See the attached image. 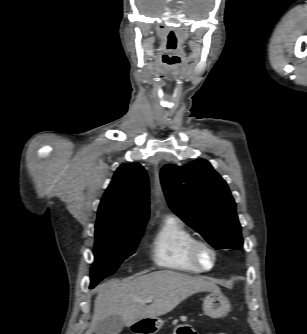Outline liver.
I'll list each match as a JSON object with an SVG mask.
<instances>
[{"instance_id":"6515ba94","label":"liver","mask_w":307,"mask_h":334,"mask_svg":"<svg viewBox=\"0 0 307 334\" xmlns=\"http://www.w3.org/2000/svg\"><path fill=\"white\" fill-rule=\"evenodd\" d=\"M202 291L219 292V287L206 279L176 271L163 270L135 279H112L99 285L94 314L85 334H92L95 326L110 315H119L124 325L131 326L145 318H157L172 311L190 295ZM152 298L146 305L144 300Z\"/></svg>"}]
</instances>
